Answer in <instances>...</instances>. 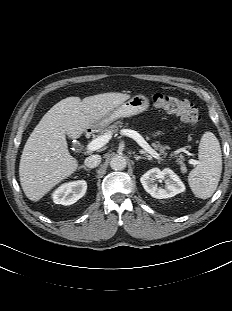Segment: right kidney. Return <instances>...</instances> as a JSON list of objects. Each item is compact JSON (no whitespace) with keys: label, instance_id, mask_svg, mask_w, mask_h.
<instances>
[{"label":"right kidney","instance_id":"obj_1","mask_svg":"<svg viewBox=\"0 0 232 311\" xmlns=\"http://www.w3.org/2000/svg\"><path fill=\"white\" fill-rule=\"evenodd\" d=\"M87 183L84 180L69 182L58 187L52 194L54 203L64 206L72 205L84 196Z\"/></svg>","mask_w":232,"mask_h":311}]
</instances>
